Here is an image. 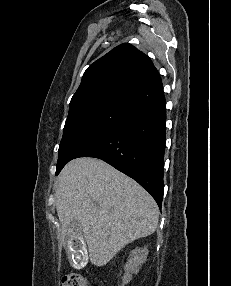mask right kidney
Here are the masks:
<instances>
[{"label": "right kidney", "instance_id": "ca27d5eb", "mask_svg": "<svg viewBox=\"0 0 231 286\" xmlns=\"http://www.w3.org/2000/svg\"><path fill=\"white\" fill-rule=\"evenodd\" d=\"M148 255V249L146 247L135 249L131 252L130 260L126 263L124 270L125 275L122 278V286L129 283L132 280V274L137 273L141 264L146 260Z\"/></svg>", "mask_w": 231, "mask_h": 286}]
</instances>
